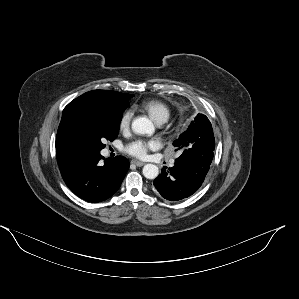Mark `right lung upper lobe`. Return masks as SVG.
I'll list each match as a JSON object with an SVG mask.
<instances>
[{
	"mask_svg": "<svg viewBox=\"0 0 299 299\" xmlns=\"http://www.w3.org/2000/svg\"><path fill=\"white\" fill-rule=\"evenodd\" d=\"M130 97H133V95L108 90H93L71 101L63 110L56 136V157L59 166H63L82 155V153L75 149L70 143L66 133L67 119L73 110L83 105H97L105 108H113Z\"/></svg>",
	"mask_w": 299,
	"mask_h": 299,
	"instance_id": "obj_1",
	"label": "right lung upper lobe"
}]
</instances>
